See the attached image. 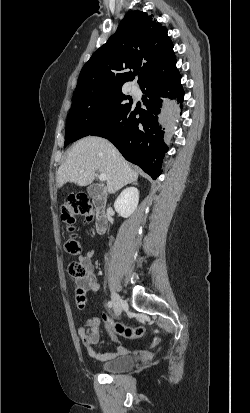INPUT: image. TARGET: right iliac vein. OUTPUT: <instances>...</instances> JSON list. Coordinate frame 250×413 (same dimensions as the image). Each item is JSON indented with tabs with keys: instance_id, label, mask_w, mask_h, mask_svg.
Returning <instances> with one entry per match:
<instances>
[{
	"instance_id": "1",
	"label": "right iliac vein",
	"mask_w": 250,
	"mask_h": 413,
	"mask_svg": "<svg viewBox=\"0 0 250 413\" xmlns=\"http://www.w3.org/2000/svg\"><path fill=\"white\" fill-rule=\"evenodd\" d=\"M112 302L116 314L120 315L124 307V301L116 292H112Z\"/></svg>"
}]
</instances>
